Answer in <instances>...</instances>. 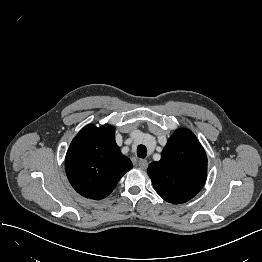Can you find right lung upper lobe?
I'll list each match as a JSON object with an SVG mask.
<instances>
[{
    "mask_svg": "<svg viewBox=\"0 0 262 262\" xmlns=\"http://www.w3.org/2000/svg\"><path fill=\"white\" fill-rule=\"evenodd\" d=\"M132 167L130 159L117 146L115 130L109 125L84 127L72 140L65 158L72 187L94 200L108 196Z\"/></svg>",
    "mask_w": 262,
    "mask_h": 262,
    "instance_id": "cb5924a9",
    "label": "right lung upper lobe"
}]
</instances>
